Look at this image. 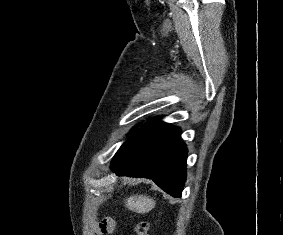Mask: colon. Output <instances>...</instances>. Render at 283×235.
<instances>
[{
    "label": "colon",
    "mask_w": 283,
    "mask_h": 235,
    "mask_svg": "<svg viewBox=\"0 0 283 235\" xmlns=\"http://www.w3.org/2000/svg\"><path fill=\"white\" fill-rule=\"evenodd\" d=\"M150 225L148 221L141 220L136 224L135 233L136 235H148Z\"/></svg>",
    "instance_id": "colon-1"
}]
</instances>
